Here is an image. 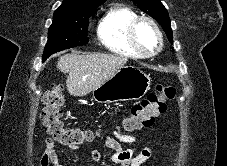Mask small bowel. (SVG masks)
<instances>
[{"label": "small bowel", "instance_id": "small-bowel-1", "mask_svg": "<svg viewBox=\"0 0 227 166\" xmlns=\"http://www.w3.org/2000/svg\"><path fill=\"white\" fill-rule=\"evenodd\" d=\"M138 140V135L122 134L116 129L113 130V135L105 139V145L113 151L109 160L118 166H142L151 159V150L144 148L139 153L133 149H124L121 144H133ZM77 150V147H72ZM91 158L94 162H99L102 159V154L92 149ZM65 158H62L60 152L56 149L54 140L47 138L45 148L40 160V166H65L63 163Z\"/></svg>", "mask_w": 227, "mask_h": 166}]
</instances>
